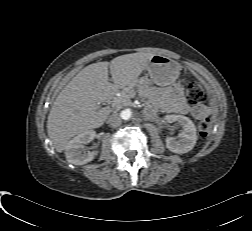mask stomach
Here are the masks:
<instances>
[{
  "label": "stomach",
  "mask_w": 252,
  "mask_h": 231,
  "mask_svg": "<svg viewBox=\"0 0 252 231\" xmlns=\"http://www.w3.org/2000/svg\"><path fill=\"white\" fill-rule=\"evenodd\" d=\"M147 70L152 83L166 88L176 87L178 66L168 57L154 55L149 62ZM144 82H149V80L145 79Z\"/></svg>",
  "instance_id": "1"
}]
</instances>
